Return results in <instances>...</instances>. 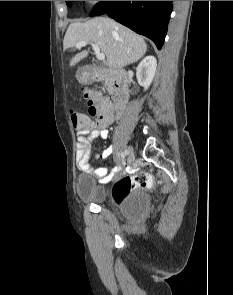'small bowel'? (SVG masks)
<instances>
[{
    "mask_svg": "<svg viewBox=\"0 0 233 295\" xmlns=\"http://www.w3.org/2000/svg\"><path fill=\"white\" fill-rule=\"evenodd\" d=\"M97 103L105 111V117L94 127L85 130H78L76 160L77 167L80 171L92 175L101 183H108L111 178L120 171L122 167V159L119 156L115 158V165L111 167L110 173H108V167L93 169L90 163L92 143L97 138H107L108 126L115 121L117 115L114 113L112 104L107 97L97 95ZM112 153L113 146L110 145L102 152V154L98 155V158L102 160L107 159Z\"/></svg>",
    "mask_w": 233,
    "mask_h": 295,
    "instance_id": "c3829d8e",
    "label": "small bowel"
}]
</instances>
